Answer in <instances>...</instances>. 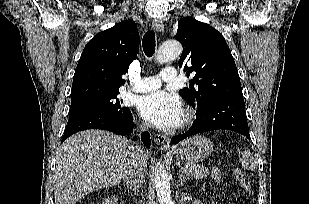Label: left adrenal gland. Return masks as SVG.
<instances>
[{"instance_id":"1","label":"left adrenal gland","mask_w":309,"mask_h":204,"mask_svg":"<svg viewBox=\"0 0 309 204\" xmlns=\"http://www.w3.org/2000/svg\"><path fill=\"white\" fill-rule=\"evenodd\" d=\"M179 184L183 186V184L188 180V177L184 176L182 171L178 172Z\"/></svg>"}]
</instances>
